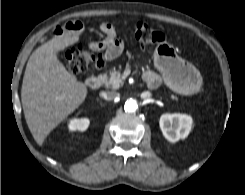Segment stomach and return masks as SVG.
<instances>
[{
  "mask_svg": "<svg viewBox=\"0 0 245 195\" xmlns=\"http://www.w3.org/2000/svg\"><path fill=\"white\" fill-rule=\"evenodd\" d=\"M154 65L162 73L166 85L173 91L182 95H192L200 90V73L190 63L177 57L170 44L161 43L156 47Z\"/></svg>",
  "mask_w": 245,
  "mask_h": 195,
  "instance_id": "0dacf381",
  "label": "stomach"
}]
</instances>
